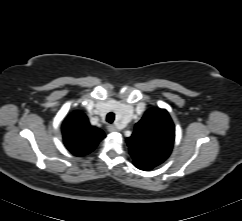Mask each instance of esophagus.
<instances>
[{
	"instance_id": "obj_1",
	"label": "esophagus",
	"mask_w": 242,
	"mask_h": 221,
	"mask_svg": "<svg viewBox=\"0 0 242 221\" xmlns=\"http://www.w3.org/2000/svg\"><path fill=\"white\" fill-rule=\"evenodd\" d=\"M107 129H108L109 132H116L117 131V128H116L115 125H109L107 127Z\"/></svg>"
}]
</instances>
